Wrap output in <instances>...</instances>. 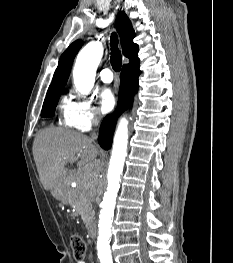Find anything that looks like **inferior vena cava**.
Segmentation results:
<instances>
[{"mask_svg": "<svg viewBox=\"0 0 233 263\" xmlns=\"http://www.w3.org/2000/svg\"><path fill=\"white\" fill-rule=\"evenodd\" d=\"M92 123L94 126H98L99 125V119L97 117H94L92 120Z\"/></svg>", "mask_w": 233, "mask_h": 263, "instance_id": "1", "label": "inferior vena cava"}]
</instances>
